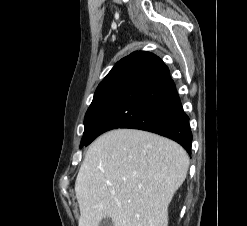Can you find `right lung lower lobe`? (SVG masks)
Wrapping results in <instances>:
<instances>
[{"label":"right lung lower lobe","mask_w":247,"mask_h":226,"mask_svg":"<svg viewBox=\"0 0 247 226\" xmlns=\"http://www.w3.org/2000/svg\"><path fill=\"white\" fill-rule=\"evenodd\" d=\"M116 128L157 133L191 154L189 117L183 111L169 69L156 55L136 51L128 56L85 146Z\"/></svg>","instance_id":"1"}]
</instances>
